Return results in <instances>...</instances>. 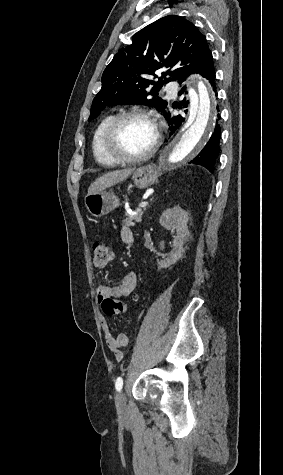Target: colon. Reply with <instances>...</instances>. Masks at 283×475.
<instances>
[{
    "instance_id": "1",
    "label": "colon",
    "mask_w": 283,
    "mask_h": 475,
    "mask_svg": "<svg viewBox=\"0 0 283 475\" xmlns=\"http://www.w3.org/2000/svg\"><path fill=\"white\" fill-rule=\"evenodd\" d=\"M114 254L113 247L104 240H96L93 243V263L96 267H104ZM125 310V305L121 300L104 299L103 312L105 314H119Z\"/></svg>"
}]
</instances>
